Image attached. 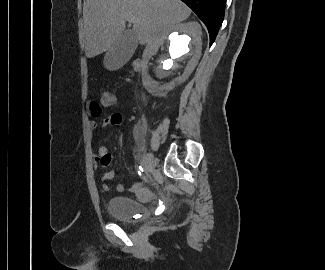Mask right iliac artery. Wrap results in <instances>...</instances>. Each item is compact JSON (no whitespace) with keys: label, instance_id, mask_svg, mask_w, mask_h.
I'll list each match as a JSON object with an SVG mask.
<instances>
[{"label":"right iliac artery","instance_id":"obj_1","mask_svg":"<svg viewBox=\"0 0 325 270\" xmlns=\"http://www.w3.org/2000/svg\"><path fill=\"white\" fill-rule=\"evenodd\" d=\"M151 156H152L151 153H147L144 157V162H147L151 158Z\"/></svg>","mask_w":325,"mask_h":270}]
</instances>
